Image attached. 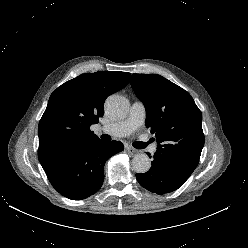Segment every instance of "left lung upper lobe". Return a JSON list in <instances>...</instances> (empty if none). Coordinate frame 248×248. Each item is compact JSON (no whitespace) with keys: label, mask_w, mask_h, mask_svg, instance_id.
<instances>
[{"label":"left lung upper lobe","mask_w":248,"mask_h":248,"mask_svg":"<svg viewBox=\"0 0 248 248\" xmlns=\"http://www.w3.org/2000/svg\"><path fill=\"white\" fill-rule=\"evenodd\" d=\"M131 86L146 109V127L158 143L155 156L190 176L204 146L202 114L191 95L157 74H133Z\"/></svg>","instance_id":"1"}]
</instances>
